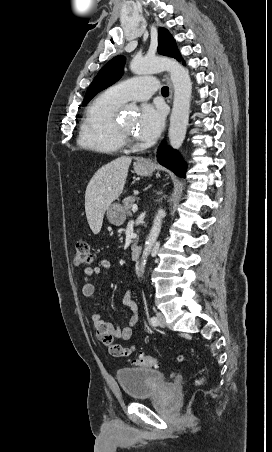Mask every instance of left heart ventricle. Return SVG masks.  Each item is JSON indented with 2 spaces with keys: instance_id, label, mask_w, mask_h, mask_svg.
I'll list each match as a JSON object with an SVG mask.
<instances>
[{
  "instance_id": "left-heart-ventricle-1",
  "label": "left heart ventricle",
  "mask_w": 272,
  "mask_h": 452,
  "mask_svg": "<svg viewBox=\"0 0 272 452\" xmlns=\"http://www.w3.org/2000/svg\"><path fill=\"white\" fill-rule=\"evenodd\" d=\"M120 123L131 135L134 134L135 121L133 118L123 119Z\"/></svg>"
}]
</instances>
